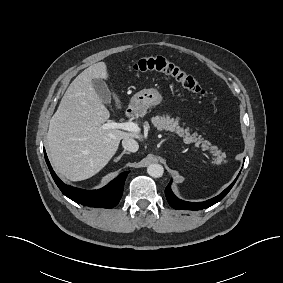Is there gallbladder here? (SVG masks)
Here are the masks:
<instances>
[{"mask_svg": "<svg viewBox=\"0 0 283 283\" xmlns=\"http://www.w3.org/2000/svg\"><path fill=\"white\" fill-rule=\"evenodd\" d=\"M93 87L98 94L99 98L101 99L103 104H110L111 102V93L107 87V84L100 79H94L92 81Z\"/></svg>", "mask_w": 283, "mask_h": 283, "instance_id": "obj_1", "label": "gallbladder"}]
</instances>
